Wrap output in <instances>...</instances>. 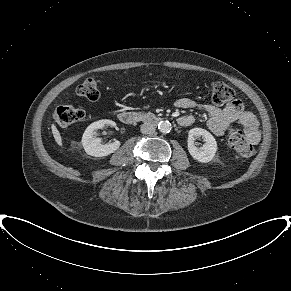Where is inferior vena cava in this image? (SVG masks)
I'll list each match as a JSON object with an SVG mask.
<instances>
[{
    "label": "inferior vena cava",
    "instance_id": "inferior-vena-cava-1",
    "mask_svg": "<svg viewBox=\"0 0 291 291\" xmlns=\"http://www.w3.org/2000/svg\"><path fill=\"white\" fill-rule=\"evenodd\" d=\"M155 131V125L151 122H145L141 125V132L143 134H151Z\"/></svg>",
    "mask_w": 291,
    "mask_h": 291
}]
</instances>
